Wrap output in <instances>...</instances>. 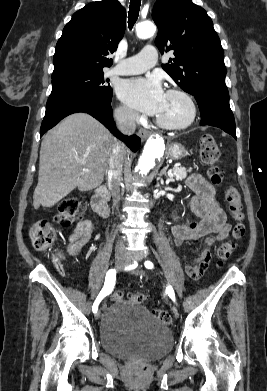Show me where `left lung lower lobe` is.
I'll use <instances>...</instances> for the list:
<instances>
[{
  "mask_svg": "<svg viewBox=\"0 0 267 391\" xmlns=\"http://www.w3.org/2000/svg\"><path fill=\"white\" fill-rule=\"evenodd\" d=\"M194 96L201 112L200 125L221 128L236 138L235 120L229 105L228 91L210 89Z\"/></svg>",
  "mask_w": 267,
  "mask_h": 391,
  "instance_id": "obj_1",
  "label": "left lung lower lobe"
}]
</instances>
